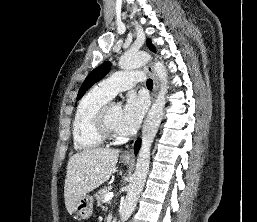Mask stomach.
<instances>
[{
	"mask_svg": "<svg viewBox=\"0 0 257 222\" xmlns=\"http://www.w3.org/2000/svg\"><path fill=\"white\" fill-rule=\"evenodd\" d=\"M121 160L125 164L130 163V159L122 158ZM92 212L93 198L89 195L80 197L74 206V213L82 219H87L92 215Z\"/></svg>",
	"mask_w": 257,
	"mask_h": 222,
	"instance_id": "stomach-1",
	"label": "stomach"
}]
</instances>
